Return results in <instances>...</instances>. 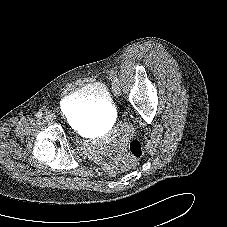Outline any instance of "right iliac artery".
I'll return each instance as SVG.
<instances>
[{
    "mask_svg": "<svg viewBox=\"0 0 227 227\" xmlns=\"http://www.w3.org/2000/svg\"><path fill=\"white\" fill-rule=\"evenodd\" d=\"M36 117L41 118V117H42V112H38V113L36 114Z\"/></svg>",
    "mask_w": 227,
    "mask_h": 227,
    "instance_id": "obj_1",
    "label": "right iliac artery"
}]
</instances>
